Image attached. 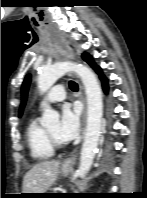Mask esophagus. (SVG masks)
<instances>
[{"mask_svg":"<svg viewBox=\"0 0 147 198\" xmlns=\"http://www.w3.org/2000/svg\"><path fill=\"white\" fill-rule=\"evenodd\" d=\"M69 57H73V55L70 54ZM80 93H81V98H82L83 103H84V119H85V117H86V107H85V99L83 97V88H82L81 85H80ZM75 159H76V156L75 155H72L71 157L67 158L63 162V166L64 167H71V166H73V164L75 163Z\"/></svg>","mask_w":147,"mask_h":198,"instance_id":"esophagus-1","label":"esophagus"}]
</instances>
